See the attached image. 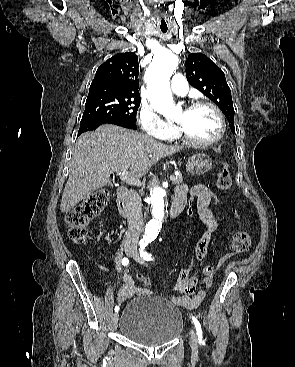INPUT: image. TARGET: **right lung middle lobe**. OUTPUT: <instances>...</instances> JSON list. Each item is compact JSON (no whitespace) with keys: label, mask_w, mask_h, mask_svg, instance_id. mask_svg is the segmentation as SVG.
<instances>
[{"label":"right lung middle lobe","mask_w":295,"mask_h":367,"mask_svg":"<svg viewBox=\"0 0 295 367\" xmlns=\"http://www.w3.org/2000/svg\"><path fill=\"white\" fill-rule=\"evenodd\" d=\"M140 106V97L117 95L113 93L89 92L81 126L93 122L116 119L136 122V113Z\"/></svg>","instance_id":"obj_1"}]
</instances>
